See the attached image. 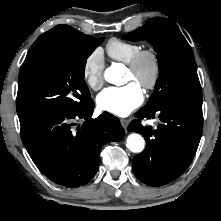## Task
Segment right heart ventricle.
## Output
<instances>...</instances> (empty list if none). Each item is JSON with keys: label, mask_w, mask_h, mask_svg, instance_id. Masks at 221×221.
<instances>
[{"label": "right heart ventricle", "mask_w": 221, "mask_h": 221, "mask_svg": "<svg viewBox=\"0 0 221 221\" xmlns=\"http://www.w3.org/2000/svg\"><path fill=\"white\" fill-rule=\"evenodd\" d=\"M140 50V44L120 38H112L106 44V51L109 57L125 64H128Z\"/></svg>", "instance_id": "obj_1"}]
</instances>
